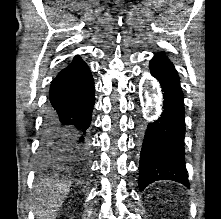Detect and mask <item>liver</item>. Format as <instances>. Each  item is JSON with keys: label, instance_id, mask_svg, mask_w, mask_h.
I'll return each instance as SVG.
<instances>
[{"label": "liver", "instance_id": "obj_1", "mask_svg": "<svg viewBox=\"0 0 221 219\" xmlns=\"http://www.w3.org/2000/svg\"><path fill=\"white\" fill-rule=\"evenodd\" d=\"M71 184L50 182L38 189L39 195L33 203V210L37 219H54L67 197Z\"/></svg>", "mask_w": 221, "mask_h": 219}]
</instances>
